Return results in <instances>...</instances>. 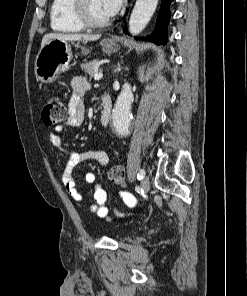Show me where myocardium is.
<instances>
[{
    "mask_svg": "<svg viewBox=\"0 0 247 296\" xmlns=\"http://www.w3.org/2000/svg\"><path fill=\"white\" fill-rule=\"evenodd\" d=\"M72 13L76 22L83 28H103L110 24L109 18L100 22L93 21L89 18L87 13V0H73Z\"/></svg>",
    "mask_w": 247,
    "mask_h": 296,
    "instance_id": "1",
    "label": "myocardium"
}]
</instances>
